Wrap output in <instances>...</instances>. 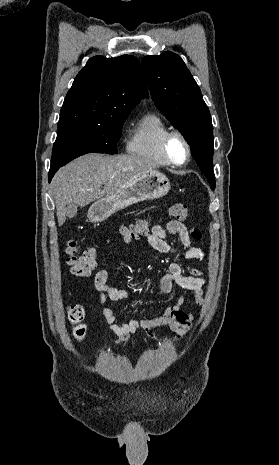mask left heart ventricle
Masks as SVG:
<instances>
[{"label":"left heart ventricle","mask_w":279,"mask_h":465,"mask_svg":"<svg viewBox=\"0 0 279 465\" xmlns=\"http://www.w3.org/2000/svg\"><path fill=\"white\" fill-rule=\"evenodd\" d=\"M169 154L171 158L177 162L181 163L186 158V147L178 137L173 138L169 143Z\"/></svg>","instance_id":"b2bd125f"}]
</instances>
